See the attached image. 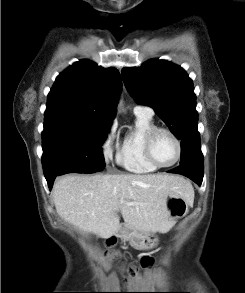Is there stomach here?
<instances>
[{"instance_id":"obj_1","label":"stomach","mask_w":245,"mask_h":293,"mask_svg":"<svg viewBox=\"0 0 245 293\" xmlns=\"http://www.w3.org/2000/svg\"><path fill=\"white\" fill-rule=\"evenodd\" d=\"M189 206L188 200L184 197L168 196L167 198V208L171 219H178L185 216ZM117 236L128 240L134 248L139 250L151 249L157 241L154 233H145L128 228H121L117 232Z\"/></svg>"}]
</instances>
